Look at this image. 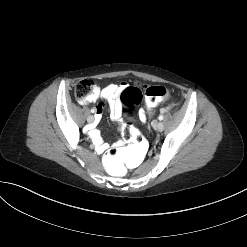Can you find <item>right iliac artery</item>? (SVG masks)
Here are the masks:
<instances>
[{
	"label": "right iliac artery",
	"mask_w": 247,
	"mask_h": 247,
	"mask_svg": "<svg viewBox=\"0 0 247 247\" xmlns=\"http://www.w3.org/2000/svg\"><path fill=\"white\" fill-rule=\"evenodd\" d=\"M96 111H95V109H91V113H95Z\"/></svg>",
	"instance_id": "82829eb1"
}]
</instances>
